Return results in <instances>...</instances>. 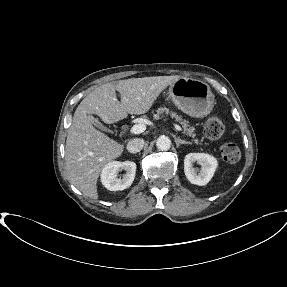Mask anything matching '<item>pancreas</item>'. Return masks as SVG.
I'll return each instance as SVG.
<instances>
[{
    "instance_id": "obj_1",
    "label": "pancreas",
    "mask_w": 287,
    "mask_h": 287,
    "mask_svg": "<svg viewBox=\"0 0 287 287\" xmlns=\"http://www.w3.org/2000/svg\"><path fill=\"white\" fill-rule=\"evenodd\" d=\"M156 113L157 114H154V118L155 119H158L160 115H162L163 113L165 114H169L172 118L175 119V121H178L183 129H184V133L192 138H194L196 136V133L194 132L195 128L194 127H191L189 122L186 121L185 119H182L181 116L177 115L176 112H173V111H169L168 108L166 107H160L156 110ZM195 143H198V139H193Z\"/></svg>"
}]
</instances>
